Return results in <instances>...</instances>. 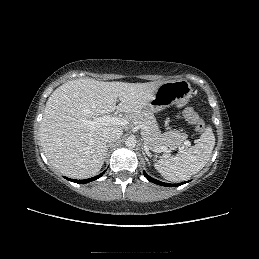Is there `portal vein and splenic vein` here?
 <instances>
[{
    "label": "portal vein and splenic vein",
    "mask_w": 259,
    "mask_h": 259,
    "mask_svg": "<svg viewBox=\"0 0 259 259\" xmlns=\"http://www.w3.org/2000/svg\"><path fill=\"white\" fill-rule=\"evenodd\" d=\"M85 123L91 127H98V126H102V125H108V124H113V125H119V126H125L127 124H129L127 119L124 118H120V117H112L109 115H104L102 117H98V118H94L92 120H87L85 121ZM185 145H190V142H185ZM156 151L158 152H169L170 150H168L167 147L162 146L158 149H156Z\"/></svg>",
    "instance_id": "portal-vein-and-splenic-vein-1"
}]
</instances>
